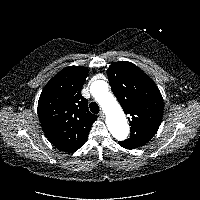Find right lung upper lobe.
Listing matches in <instances>:
<instances>
[{
    "mask_svg": "<svg viewBox=\"0 0 200 200\" xmlns=\"http://www.w3.org/2000/svg\"><path fill=\"white\" fill-rule=\"evenodd\" d=\"M88 69L70 66L57 73L44 87L38 101V116L48 140L58 149L74 152L88 138L96 115L88 110L81 89Z\"/></svg>",
    "mask_w": 200,
    "mask_h": 200,
    "instance_id": "cb5924a9",
    "label": "right lung upper lobe"
}]
</instances>
